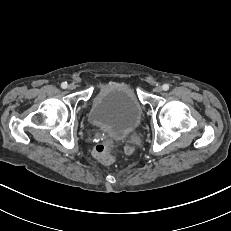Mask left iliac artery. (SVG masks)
<instances>
[{
  "mask_svg": "<svg viewBox=\"0 0 231 231\" xmlns=\"http://www.w3.org/2000/svg\"><path fill=\"white\" fill-rule=\"evenodd\" d=\"M162 88H163V90L167 91V90H169V85L168 84H164L162 86Z\"/></svg>",
  "mask_w": 231,
  "mask_h": 231,
  "instance_id": "1",
  "label": "left iliac artery"
}]
</instances>
